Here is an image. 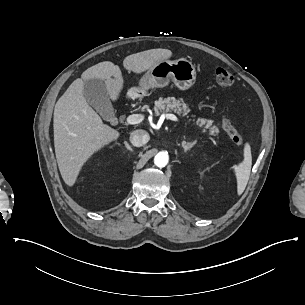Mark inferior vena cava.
I'll return each instance as SVG.
<instances>
[{
	"label": "inferior vena cava",
	"instance_id": "inferior-vena-cava-1",
	"mask_svg": "<svg viewBox=\"0 0 305 305\" xmlns=\"http://www.w3.org/2000/svg\"><path fill=\"white\" fill-rule=\"evenodd\" d=\"M149 140L150 136L145 130H135L130 135V142L136 147L143 146Z\"/></svg>",
	"mask_w": 305,
	"mask_h": 305
}]
</instances>
